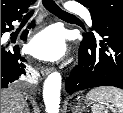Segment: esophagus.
<instances>
[{
	"mask_svg": "<svg viewBox=\"0 0 123 113\" xmlns=\"http://www.w3.org/2000/svg\"><path fill=\"white\" fill-rule=\"evenodd\" d=\"M53 68L52 67H42L41 68V73L43 75H48L52 72Z\"/></svg>",
	"mask_w": 123,
	"mask_h": 113,
	"instance_id": "34e87169",
	"label": "esophagus"
}]
</instances>
